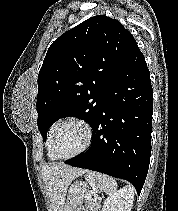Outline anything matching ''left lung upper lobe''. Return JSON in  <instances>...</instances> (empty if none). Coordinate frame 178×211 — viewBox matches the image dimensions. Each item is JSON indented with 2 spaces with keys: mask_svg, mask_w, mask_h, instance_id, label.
Listing matches in <instances>:
<instances>
[{
  "mask_svg": "<svg viewBox=\"0 0 178 211\" xmlns=\"http://www.w3.org/2000/svg\"><path fill=\"white\" fill-rule=\"evenodd\" d=\"M137 43L115 19L98 15L66 31L49 47L38 74V129L76 115L93 126L104 95Z\"/></svg>",
  "mask_w": 178,
  "mask_h": 211,
  "instance_id": "1",
  "label": "left lung upper lobe"
}]
</instances>
